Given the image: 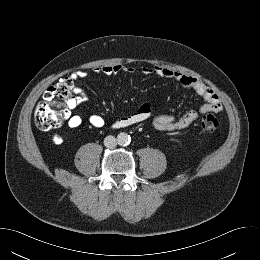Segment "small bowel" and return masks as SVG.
Instances as JSON below:
<instances>
[{
  "label": "small bowel",
  "instance_id": "obj_1",
  "mask_svg": "<svg viewBox=\"0 0 260 260\" xmlns=\"http://www.w3.org/2000/svg\"><path fill=\"white\" fill-rule=\"evenodd\" d=\"M94 71L97 74L111 76L120 72L133 74L135 69L121 64H111L98 67L94 69ZM141 72L146 76L157 75L164 78L174 79L182 87L194 90L205 101V103L202 104L198 110L188 111L178 119L168 114L157 116L152 122V127L157 132H174L183 130L192 124L200 114L220 112L222 110V102L217 93L204 82L195 77L174 71L164 66H144L142 67ZM86 76L87 73L84 70H78L72 74V77L76 80L83 79ZM82 96L83 93L81 89L77 88V97L75 100L70 102L69 111L65 117L67 119L68 126L72 129L78 128L82 124V118L79 115L71 114L70 112V110L74 109L81 102ZM152 115V104L145 102L134 113L114 120L112 122V127L114 129H121L140 124L149 120ZM89 121L92 126L98 128L104 126L105 124L104 118L97 114L90 116ZM53 141L55 143H60L62 138L59 134H55L53 136Z\"/></svg>",
  "mask_w": 260,
  "mask_h": 260
}]
</instances>
